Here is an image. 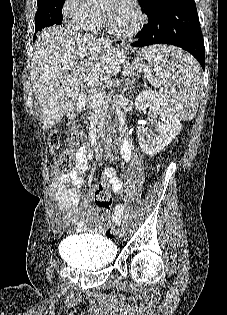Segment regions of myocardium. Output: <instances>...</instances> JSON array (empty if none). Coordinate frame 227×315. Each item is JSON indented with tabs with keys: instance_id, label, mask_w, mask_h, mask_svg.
Listing matches in <instances>:
<instances>
[{
	"instance_id": "1",
	"label": "myocardium",
	"mask_w": 227,
	"mask_h": 315,
	"mask_svg": "<svg viewBox=\"0 0 227 315\" xmlns=\"http://www.w3.org/2000/svg\"><path fill=\"white\" fill-rule=\"evenodd\" d=\"M131 8H132V10L135 14V17H136V23L130 31L122 32V31L115 29L112 26V24L110 23V21L108 20L106 14L103 13L102 17H103V22H104L106 29L110 33L114 34L115 36L123 38V39L132 38L136 34H138L144 25V15L134 2H131Z\"/></svg>"
}]
</instances>
